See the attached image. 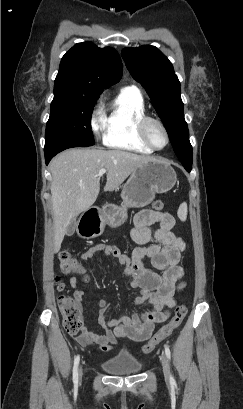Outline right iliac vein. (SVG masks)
<instances>
[{
  "instance_id": "1",
  "label": "right iliac vein",
  "mask_w": 243,
  "mask_h": 409,
  "mask_svg": "<svg viewBox=\"0 0 243 409\" xmlns=\"http://www.w3.org/2000/svg\"><path fill=\"white\" fill-rule=\"evenodd\" d=\"M79 375L80 376L82 375V367H80V369H79Z\"/></svg>"
}]
</instances>
